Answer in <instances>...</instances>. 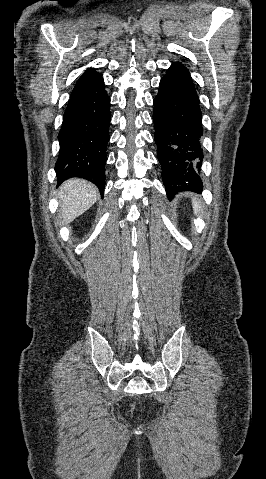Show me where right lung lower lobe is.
<instances>
[{"mask_svg": "<svg viewBox=\"0 0 266 479\" xmlns=\"http://www.w3.org/2000/svg\"><path fill=\"white\" fill-rule=\"evenodd\" d=\"M110 97L99 73L81 77L70 96L58 135L60 150L55 164L58 185L80 177L104 193L106 146L111 120Z\"/></svg>", "mask_w": 266, "mask_h": 479, "instance_id": "1", "label": "right lung lower lobe"}]
</instances>
